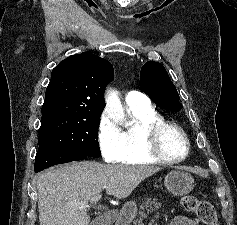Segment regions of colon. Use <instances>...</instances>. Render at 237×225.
I'll list each match as a JSON object with an SVG mask.
<instances>
[{
	"label": "colon",
	"instance_id": "5ec220e1",
	"mask_svg": "<svg viewBox=\"0 0 237 225\" xmlns=\"http://www.w3.org/2000/svg\"><path fill=\"white\" fill-rule=\"evenodd\" d=\"M182 206L188 212H194L205 225H218L214 206L209 201L198 200L193 195L182 198Z\"/></svg>",
	"mask_w": 237,
	"mask_h": 225
}]
</instances>
